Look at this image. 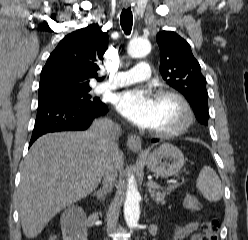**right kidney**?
Listing matches in <instances>:
<instances>
[{
  "mask_svg": "<svg viewBox=\"0 0 248 240\" xmlns=\"http://www.w3.org/2000/svg\"><path fill=\"white\" fill-rule=\"evenodd\" d=\"M63 240H87V228L84 223L79 225H62Z\"/></svg>",
  "mask_w": 248,
  "mask_h": 240,
  "instance_id": "right-kidney-1",
  "label": "right kidney"
}]
</instances>
